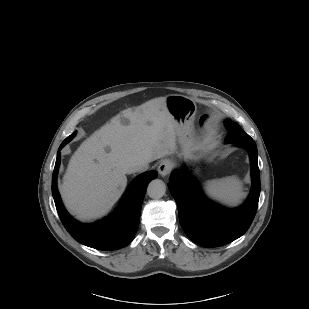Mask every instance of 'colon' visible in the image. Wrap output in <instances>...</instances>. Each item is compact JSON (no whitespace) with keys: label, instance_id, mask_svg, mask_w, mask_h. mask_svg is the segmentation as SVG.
Here are the masks:
<instances>
[{"label":"colon","instance_id":"colon-1","mask_svg":"<svg viewBox=\"0 0 309 309\" xmlns=\"http://www.w3.org/2000/svg\"><path fill=\"white\" fill-rule=\"evenodd\" d=\"M206 122H207V119L205 117L202 118V120H201L202 125L206 124Z\"/></svg>","mask_w":309,"mask_h":309}]
</instances>
